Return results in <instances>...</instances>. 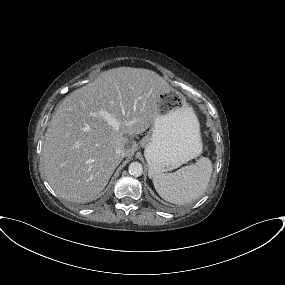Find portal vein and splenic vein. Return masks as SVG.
Instances as JSON below:
<instances>
[{"mask_svg":"<svg viewBox=\"0 0 285 285\" xmlns=\"http://www.w3.org/2000/svg\"><path fill=\"white\" fill-rule=\"evenodd\" d=\"M94 115L102 116L114 129H119L120 121L111 116L107 111H99L94 113Z\"/></svg>","mask_w":285,"mask_h":285,"instance_id":"1","label":"portal vein and splenic vein"}]
</instances>
